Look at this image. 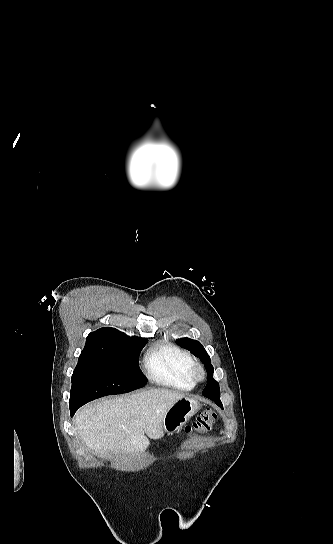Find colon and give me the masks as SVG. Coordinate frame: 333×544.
<instances>
[{
	"label": "colon",
	"mask_w": 333,
	"mask_h": 544,
	"mask_svg": "<svg viewBox=\"0 0 333 544\" xmlns=\"http://www.w3.org/2000/svg\"><path fill=\"white\" fill-rule=\"evenodd\" d=\"M218 414L212 409L203 411L196 420L185 428L187 435L202 433L208 431L212 424L216 421Z\"/></svg>",
	"instance_id": "1"
}]
</instances>
